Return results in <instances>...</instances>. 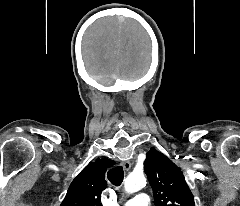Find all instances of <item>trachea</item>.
<instances>
[{
  "label": "trachea",
  "instance_id": "3493384b",
  "mask_svg": "<svg viewBox=\"0 0 240 206\" xmlns=\"http://www.w3.org/2000/svg\"><path fill=\"white\" fill-rule=\"evenodd\" d=\"M108 180L115 186H120L123 182L124 171L121 166L111 169L107 174Z\"/></svg>",
  "mask_w": 240,
  "mask_h": 206
}]
</instances>
